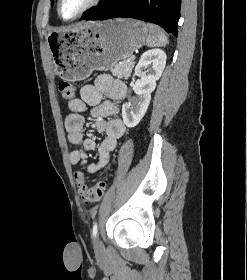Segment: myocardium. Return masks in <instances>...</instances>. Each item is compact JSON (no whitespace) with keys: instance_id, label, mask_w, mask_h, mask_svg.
<instances>
[{"instance_id":"1","label":"myocardium","mask_w":247,"mask_h":280,"mask_svg":"<svg viewBox=\"0 0 247 280\" xmlns=\"http://www.w3.org/2000/svg\"><path fill=\"white\" fill-rule=\"evenodd\" d=\"M102 0H90L89 3L80 11L78 12L75 16L71 18H64L61 14V3L62 0L57 1V14L58 16L63 20V21H73L76 20L80 17H82L84 14H86L88 11L96 7L98 4L101 3Z\"/></svg>"}]
</instances>
